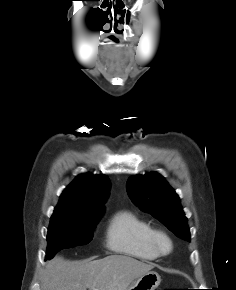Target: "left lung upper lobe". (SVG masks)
I'll list each match as a JSON object with an SVG mask.
<instances>
[{"mask_svg": "<svg viewBox=\"0 0 236 290\" xmlns=\"http://www.w3.org/2000/svg\"><path fill=\"white\" fill-rule=\"evenodd\" d=\"M127 191L141 210L157 218L177 237L190 242L187 218L180 199L160 174L152 172L130 177Z\"/></svg>", "mask_w": 236, "mask_h": 290, "instance_id": "5c2ea615", "label": "left lung upper lobe"}]
</instances>
